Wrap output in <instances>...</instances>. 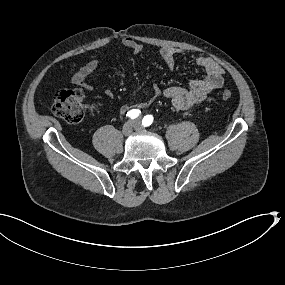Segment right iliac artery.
Instances as JSON below:
<instances>
[{
    "instance_id": "1",
    "label": "right iliac artery",
    "mask_w": 285,
    "mask_h": 285,
    "mask_svg": "<svg viewBox=\"0 0 285 285\" xmlns=\"http://www.w3.org/2000/svg\"><path fill=\"white\" fill-rule=\"evenodd\" d=\"M141 111L138 109H132L129 112H127L128 117H130L131 119H135L140 115Z\"/></svg>"
}]
</instances>
